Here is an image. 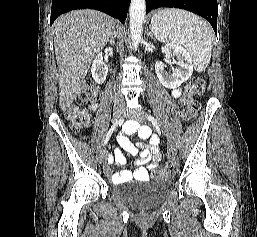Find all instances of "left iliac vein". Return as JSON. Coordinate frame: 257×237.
Returning a JSON list of instances; mask_svg holds the SVG:
<instances>
[{"label": "left iliac vein", "mask_w": 257, "mask_h": 237, "mask_svg": "<svg viewBox=\"0 0 257 237\" xmlns=\"http://www.w3.org/2000/svg\"><path fill=\"white\" fill-rule=\"evenodd\" d=\"M125 116L130 117L138 122H144L146 120L144 113L140 110H127L125 111ZM167 148L171 155H174L176 153V146L174 144V141L170 137H167Z\"/></svg>", "instance_id": "4c4485c4"}]
</instances>
